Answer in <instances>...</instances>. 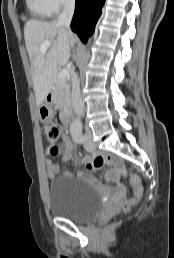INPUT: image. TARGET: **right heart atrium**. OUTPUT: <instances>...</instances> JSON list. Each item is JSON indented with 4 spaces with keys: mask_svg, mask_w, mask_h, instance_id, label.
Here are the masks:
<instances>
[{
    "mask_svg": "<svg viewBox=\"0 0 174 258\" xmlns=\"http://www.w3.org/2000/svg\"><path fill=\"white\" fill-rule=\"evenodd\" d=\"M51 13H58L65 7L72 5L75 0H45Z\"/></svg>",
    "mask_w": 174,
    "mask_h": 258,
    "instance_id": "right-heart-atrium-1",
    "label": "right heart atrium"
}]
</instances>
